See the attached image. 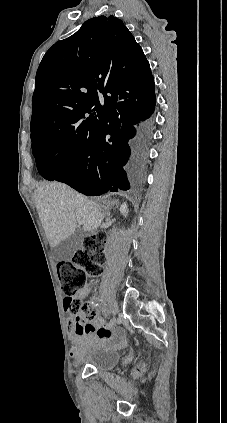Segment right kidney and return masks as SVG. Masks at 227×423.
<instances>
[{
    "label": "right kidney",
    "mask_w": 227,
    "mask_h": 423,
    "mask_svg": "<svg viewBox=\"0 0 227 423\" xmlns=\"http://www.w3.org/2000/svg\"><path fill=\"white\" fill-rule=\"evenodd\" d=\"M120 211H121L122 215H127V213H128V206H127V204H122V206L120 208Z\"/></svg>",
    "instance_id": "right-kidney-1"
}]
</instances>
